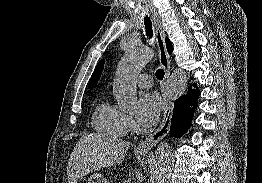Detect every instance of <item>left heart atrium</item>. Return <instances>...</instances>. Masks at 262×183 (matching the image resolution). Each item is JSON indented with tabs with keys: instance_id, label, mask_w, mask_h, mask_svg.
<instances>
[{
	"instance_id": "1",
	"label": "left heart atrium",
	"mask_w": 262,
	"mask_h": 183,
	"mask_svg": "<svg viewBox=\"0 0 262 183\" xmlns=\"http://www.w3.org/2000/svg\"><path fill=\"white\" fill-rule=\"evenodd\" d=\"M162 103L156 93H146L139 100L138 121L144 127L154 126L160 117Z\"/></svg>"
}]
</instances>
